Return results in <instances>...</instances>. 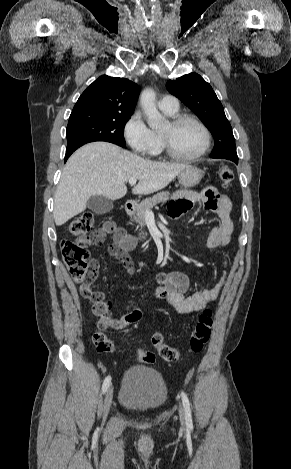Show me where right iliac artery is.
Instances as JSON below:
<instances>
[{
  "label": "right iliac artery",
  "instance_id": "right-iliac-artery-1",
  "mask_svg": "<svg viewBox=\"0 0 291 469\" xmlns=\"http://www.w3.org/2000/svg\"><path fill=\"white\" fill-rule=\"evenodd\" d=\"M111 383V377L110 376H107L103 382V385H102V391L103 393H105L109 387Z\"/></svg>",
  "mask_w": 291,
  "mask_h": 469
}]
</instances>
